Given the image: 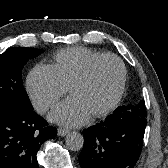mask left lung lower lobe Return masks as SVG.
I'll return each mask as SVG.
<instances>
[{
  "mask_svg": "<svg viewBox=\"0 0 168 168\" xmlns=\"http://www.w3.org/2000/svg\"><path fill=\"white\" fill-rule=\"evenodd\" d=\"M146 118L145 103L129 104L84 130L81 168H134L142 152Z\"/></svg>",
  "mask_w": 168,
  "mask_h": 168,
  "instance_id": "left-lung-lower-lobe-1",
  "label": "left lung lower lobe"
}]
</instances>
